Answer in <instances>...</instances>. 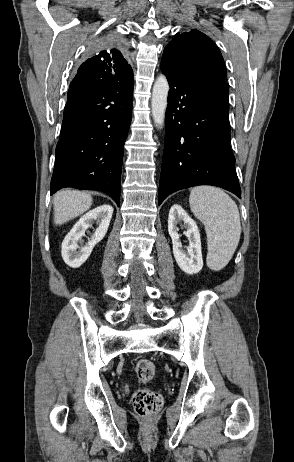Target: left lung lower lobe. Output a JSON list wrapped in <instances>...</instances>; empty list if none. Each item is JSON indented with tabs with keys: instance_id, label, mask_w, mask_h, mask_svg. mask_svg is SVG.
Segmentation results:
<instances>
[{
	"instance_id": "1",
	"label": "left lung lower lobe",
	"mask_w": 294,
	"mask_h": 462,
	"mask_svg": "<svg viewBox=\"0 0 294 462\" xmlns=\"http://www.w3.org/2000/svg\"><path fill=\"white\" fill-rule=\"evenodd\" d=\"M170 84L158 204L196 185L241 189L230 149L229 89L225 80L177 74L160 65Z\"/></svg>"
}]
</instances>
